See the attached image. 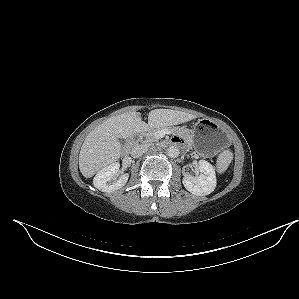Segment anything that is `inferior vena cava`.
<instances>
[{
    "mask_svg": "<svg viewBox=\"0 0 299 299\" xmlns=\"http://www.w3.org/2000/svg\"><path fill=\"white\" fill-rule=\"evenodd\" d=\"M147 150H148V145L137 144L131 149L130 154L132 157L137 158L142 156L145 152H147Z\"/></svg>",
    "mask_w": 299,
    "mask_h": 299,
    "instance_id": "obj_1",
    "label": "inferior vena cava"
}]
</instances>
